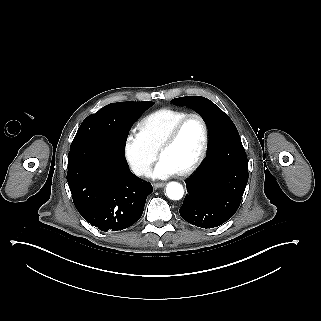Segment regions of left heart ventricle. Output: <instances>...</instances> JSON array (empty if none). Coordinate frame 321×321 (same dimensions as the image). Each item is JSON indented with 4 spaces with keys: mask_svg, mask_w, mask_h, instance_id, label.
I'll return each mask as SVG.
<instances>
[{
    "mask_svg": "<svg viewBox=\"0 0 321 321\" xmlns=\"http://www.w3.org/2000/svg\"><path fill=\"white\" fill-rule=\"evenodd\" d=\"M202 140L201 122L193 118L184 123L171 143L159 146V153L161 156L169 157L182 171L190 166L198 155Z\"/></svg>",
    "mask_w": 321,
    "mask_h": 321,
    "instance_id": "left-heart-ventricle-1",
    "label": "left heart ventricle"
}]
</instances>
